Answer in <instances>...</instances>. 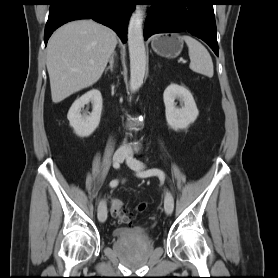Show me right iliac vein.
Instances as JSON below:
<instances>
[{"instance_id":"obj_1","label":"right iliac vein","mask_w":278,"mask_h":278,"mask_svg":"<svg viewBox=\"0 0 278 278\" xmlns=\"http://www.w3.org/2000/svg\"><path fill=\"white\" fill-rule=\"evenodd\" d=\"M126 157V153L124 151H116L113 156L114 163H122ZM98 219L100 222H105L107 219V207L105 201H102L98 208Z\"/></svg>"}]
</instances>
